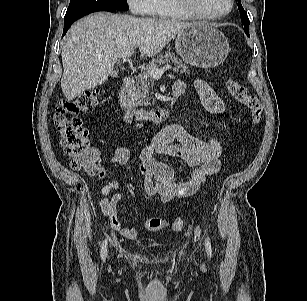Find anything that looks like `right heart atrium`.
Returning a JSON list of instances; mask_svg holds the SVG:
<instances>
[{"label": "right heart atrium", "mask_w": 307, "mask_h": 301, "mask_svg": "<svg viewBox=\"0 0 307 301\" xmlns=\"http://www.w3.org/2000/svg\"><path fill=\"white\" fill-rule=\"evenodd\" d=\"M131 11L137 15H153L156 9V0H126Z\"/></svg>", "instance_id": "obj_1"}]
</instances>
